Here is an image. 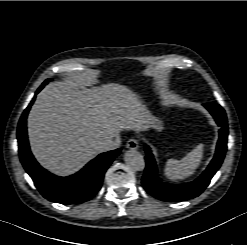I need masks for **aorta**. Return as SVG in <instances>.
<instances>
[{"instance_id": "obj_1", "label": "aorta", "mask_w": 247, "mask_h": 245, "mask_svg": "<svg viewBox=\"0 0 247 245\" xmlns=\"http://www.w3.org/2000/svg\"><path fill=\"white\" fill-rule=\"evenodd\" d=\"M124 161L133 168H139L141 166V157L136 150H128L124 154Z\"/></svg>"}]
</instances>
